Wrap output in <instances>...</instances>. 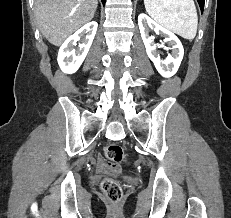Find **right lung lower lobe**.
Listing matches in <instances>:
<instances>
[{"label":"right lung lower lobe","instance_id":"obj_1","mask_svg":"<svg viewBox=\"0 0 231 218\" xmlns=\"http://www.w3.org/2000/svg\"><path fill=\"white\" fill-rule=\"evenodd\" d=\"M102 1V3H103V5L105 4V0H101Z\"/></svg>","mask_w":231,"mask_h":218}]
</instances>
